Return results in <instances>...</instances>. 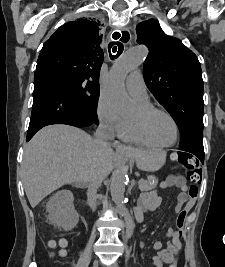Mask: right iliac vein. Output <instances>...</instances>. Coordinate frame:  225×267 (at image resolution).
Here are the masks:
<instances>
[{
    "mask_svg": "<svg viewBox=\"0 0 225 267\" xmlns=\"http://www.w3.org/2000/svg\"><path fill=\"white\" fill-rule=\"evenodd\" d=\"M98 265H99V259H95L93 267H98Z\"/></svg>",
    "mask_w": 225,
    "mask_h": 267,
    "instance_id": "63e3f726",
    "label": "right iliac vein"
}]
</instances>
